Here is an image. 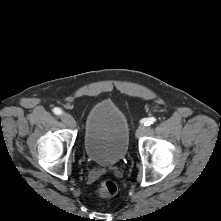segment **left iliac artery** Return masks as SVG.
Masks as SVG:
<instances>
[{"label":"left iliac artery","instance_id":"left-iliac-artery-1","mask_svg":"<svg viewBox=\"0 0 221 221\" xmlns=\"http://www.w3.org/2000/svg\"><path fill=\"white\" fill-rule=\"evenodd\" d=\"M155 122H156V118H154V117L143 119V123L145 126H150L151 124H153Z\"/></svg>","mask_w":221,"mask_h":221}]
</instances>
